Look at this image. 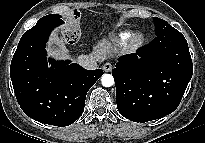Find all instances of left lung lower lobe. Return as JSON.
<instances>
[{
  "label": "left lung lower lobe",
  "mask_w": 205,
  "mask_h": 143,
  "mask_svg": "<svg viewBox=\"0 0 205 143\" xmlns=\"http://www.w3.org/2000/svg\"><path fill=\"white\" fill-rule=\"evenodd\" d=\"M193 74L184 36L177 30L157 35L135 54L119 58L112 75L118 111L134 122H147L172 113Z\"/></svg>",
  "instance_id": "0a47b994"
}]
</instances>
